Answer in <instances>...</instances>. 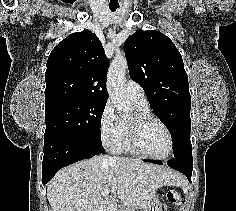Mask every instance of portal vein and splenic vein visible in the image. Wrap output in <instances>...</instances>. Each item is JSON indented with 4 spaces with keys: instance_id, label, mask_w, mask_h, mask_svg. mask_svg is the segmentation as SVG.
Here are the masks:
<instances>
[{
    "instance_id": "1",
    "label": "portal vein and splenic vein",
    "mask_w": 236,
    "mask_h": 211,
    "mask_svg": "<svg viewBox=\"0 0 236 211\" xmlns=\"http://www.w3.org/2000/svg\"><path fill=\"white\" fill-rule=\"evenodd\" d=\"M110 191H111L110 189H106L101 194H102V196H107L110 193Z\"/></svg>"
}]
</instances>
